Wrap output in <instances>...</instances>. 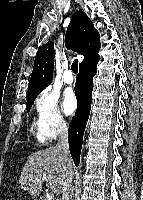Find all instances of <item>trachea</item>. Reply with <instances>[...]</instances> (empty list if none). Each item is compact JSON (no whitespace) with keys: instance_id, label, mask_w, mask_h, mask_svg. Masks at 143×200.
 Masks as SVG:
<instances>
[{"instance_id":"trachea-1","label":"trachea","mask_w":143,"mask_h":200,"mask_svg":"<svg viewBox=\"0 0 143 200\" xmlns=\"http://www.w3.org/2000/svg\"><path fill=\"white\" fill-rule=\"evenodd\" d=\"M71 70L74 72V73H77L78 72V60L75 59L71 65Z\"/></svg>"}]
</instances>
